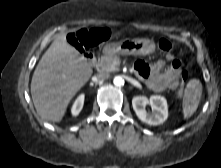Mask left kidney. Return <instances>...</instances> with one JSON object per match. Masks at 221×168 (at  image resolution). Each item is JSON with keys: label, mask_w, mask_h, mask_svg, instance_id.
<instances>
[{"label": "left kidney", "mask_w": 221, "mask_h": 168, "mask_svg": "<svg viewBox=\"0 0 221 168\" xmlns=\"http://www.w3.org/2000/svg\"><path fill=\"white\" fill-rule=\"evenodd\" d=\"M149 104L153 110L152 114L145 111L144 106ZM132 106L137 117L149 125H160L168 117L167 101L163 96L152 95L149 99L144 96H135L132 99Z\"/></svg>", "instance_id": "1"}]
</instances>
